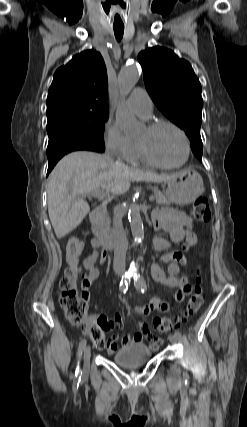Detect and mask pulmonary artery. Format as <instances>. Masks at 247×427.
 Instances as JSON below:
<instances>
[{
  "label": "pulmonary artery",
  "instance_id": "e3ab8cb5",
  "mask_svg": "<svg viewBox=\"0 0 247 427\" xmlns=\"http://www.w3.org/2000/svg\"><path fill=\"white\" fill-rule=\"evenodd\" d=\"M130 108L143 118H149L153 110L152 100L143 88H136L128 98Z\"/></svg>",
  "mask_w": 247,
  "mask_h": 427
}]
</instances>
